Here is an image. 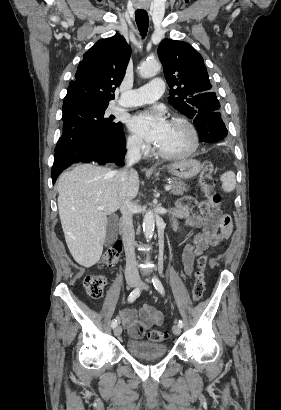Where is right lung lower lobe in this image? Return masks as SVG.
Here are the masks:
<instances>
[{
	"label": "right lung lower lobe",
	"instance_id": "98d812e1",
	"mask_svg": "<svg viewBox=\"0 0 281 410\" xmlns=\"http://www.w3.org/2000/svg\"><path fill=\"white\" fill-rule=\"evenodd\" d=\"M125 135L81 138L55 148L52 167V180L55 183L59 174L68 166L78 162L95 161L99 164L116 163L124 165Z\"/></svg>",
	"mask_w": 281,
	"mask_h": 410
}]
</instances>
